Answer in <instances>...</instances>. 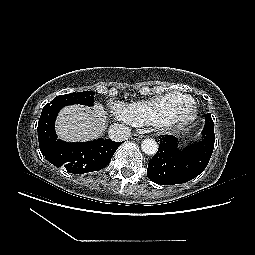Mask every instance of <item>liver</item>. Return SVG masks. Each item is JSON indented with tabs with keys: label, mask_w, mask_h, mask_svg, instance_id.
Instances as JSON below:
<instances>
[{
	"label": "liver",
	"mask_w": 255,
	"mask_h": 255,
	"mask_svg": "<svg viewBox=\"0 0 255 255\" xmlns=\"http://www.w3.org/2000/svg\"><path fill=\"white\" fill-rule=\"evenodd\" d=\"M107 113L101 104L93 108L82 105L65 107L56 120L58 137L65 141L85 142L103 135Z\"/></svg>",
	"instance_id": "1"
}]
</instances>
